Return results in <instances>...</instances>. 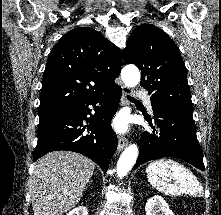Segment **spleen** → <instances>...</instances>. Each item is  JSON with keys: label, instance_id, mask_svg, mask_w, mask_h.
I'll return each mask as SVG.
<instances>
[{"label": "spleen", "instance_id": "1", "mask_svg": "<svg viewBox=\"0 0 221 215\" xmlns=\"http://www.w3.org/2000/svg\"><path fill=\"white\" fill-rule=\"evenodd\" d=\"M146 174L150 184L166 195L177 196L187 193L200 197L203 193V187L196 176L184 165L172 159L163 158L151 162ZM168 177L174 181L173 184L167 181Z\"/></svg>", "mask_w": 221, "mask_h": 215}]
</instances>
